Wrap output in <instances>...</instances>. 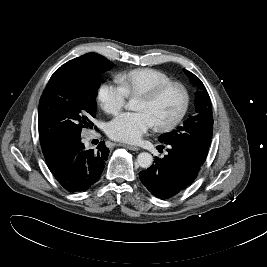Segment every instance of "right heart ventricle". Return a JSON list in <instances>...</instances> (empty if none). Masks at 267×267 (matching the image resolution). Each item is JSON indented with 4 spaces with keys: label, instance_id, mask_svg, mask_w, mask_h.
<instances>
[{
    "label": "right heart ventricle",
    "instance_id": "obj_1",
    "mask_svg": "<svg viewBox=\"0 0 267 267\" xmlns=\"http://www.w3.org/2000/svg\"><path fill=\"white\" fill-rule=\"evenodd\" d=\"M117 81L130 98H137L159 85L172 81L164 72L153 68H138L117 75Z\"/></svg>",
    "mask_w": 267,
    "mask_h": 267
}]
</instances>
